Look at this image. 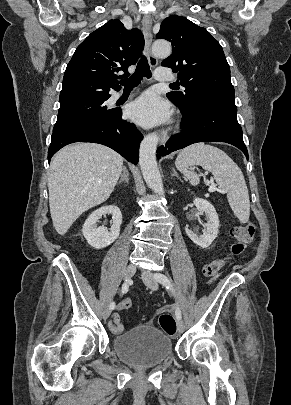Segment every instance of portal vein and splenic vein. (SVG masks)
I'll list each match as a JSON object with an SVG mask.
<instances>
[{"mask_svg":"<svg viewBox=\"0 0 291 405\" xmlns=\"http://www.w3.org/2000/svg\"><path fill=\"white\" fill-rule=\"evenodd\" d=\"M216 190V187L214 185L209 187V192H214Z\"/></svg>","mask_w":291,"mask_h":405,"instance_id":"18ae733b","label":"portal vein and splenic vein"}]
</instances>
